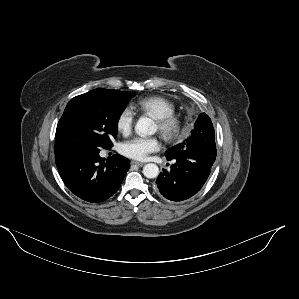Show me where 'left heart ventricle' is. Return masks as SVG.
<instances>
[{"label": "left heart ventricle", "mask_w": 299, "mask_h": 299, "mask_svg": "<svg viewBox=\"0 0 299 299\" xmlns=\"http://www.w3.org/2000/svg\"><path fill=\"white\" fill-rule=\"evenodd\" d=\"M156 129L158 130V125H157V123H156Z\"/></svg>", "instance_id": "left-heart-ventricle-1"}]
</instances>
